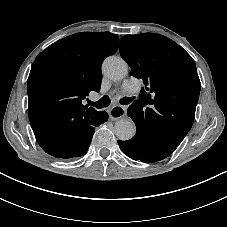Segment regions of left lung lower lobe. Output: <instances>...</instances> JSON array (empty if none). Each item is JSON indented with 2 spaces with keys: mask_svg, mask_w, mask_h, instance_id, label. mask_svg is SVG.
I'll return each mask as SVG.
<instances>
[{
  "mask_svg": "<svg viewBox=\"0 0 227 227\" xmlns=\"http://www.w3.org/2000/svg\"><path fill=\"white\" fill-rule=\"evenodd\" d=\"M120 149L130 158L142 162H156L168 157L174 149L163 143H157L148 134L138 130L127 141H118Z\"/></svg>",
  "mask_w": 227,
  "mask_h": 227,
  "instance_id": "obj_1",
  "label": "left lung lower lobe"
}]
</instances>
